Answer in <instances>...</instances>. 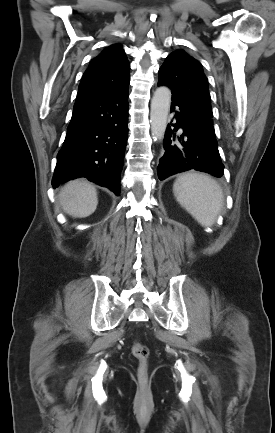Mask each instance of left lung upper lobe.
Masks as SVG:
<instances>
[{
    "mask_svg": "<svg viewBox=\"0 0 275 433\" xmlns=\"http://www.w3.org/2000/svg\"><path fill=\"white\" fill-rule=\"evenodd\" d=\"M158 82L179 94L194 110L199 120L213 128L208 80L200 62L182 50L168 55L159 69Z\"/></svg>",
    "mask_w": 275,
    "mask_h": 433,
    "instance_id": "obj_1",
    "label": "left lung upper lobe"
}]
</instances>
